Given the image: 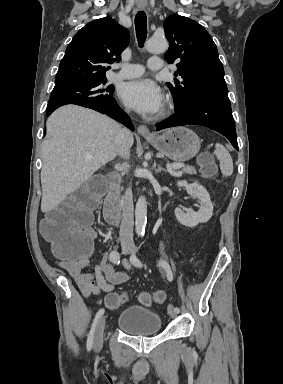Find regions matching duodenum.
Returning a JSON list of instances; mask_svg holds the SVG:
<instances>
[{
    "mask_svg": "<svg viewBox=\"0 0 283 384\" xmlns=\"http://www.w3.org/2000/svg\"><path fill=\"white\" fill-rule=\"evenodd\" d=\"M121 176L113 171L108 175L109 190L105 198L103 216L107 223L118 226L121 223V208L118 202Z\"/></svg>",
    "mask_w": 283,
    "mask_h": 384,
    "instance_id": "obj_1",
    "label": "duodenum"
}]
</instances>
